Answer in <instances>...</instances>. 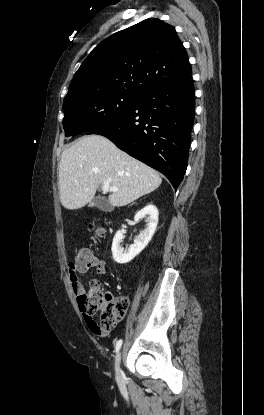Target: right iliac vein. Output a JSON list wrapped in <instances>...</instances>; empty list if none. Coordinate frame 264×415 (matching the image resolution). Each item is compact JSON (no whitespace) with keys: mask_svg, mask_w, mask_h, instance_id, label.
Masks as SVG:
<instances>
[{"mask_svg":"<svg viewBox=\"0 0 264 415\" xmlns=\"http://www.w3.org/2000/svg\"><path fill=\"white\" fill-rule=\"evenodd\" d=\"M120 364H121V353L119 352L116 357V367H117L116 375H117L118 380L121 379Z\"/></svg>","mask_w":264,"mask_h":415,"instance_id":"1","label":"right iliac vein"}]
</instances>
